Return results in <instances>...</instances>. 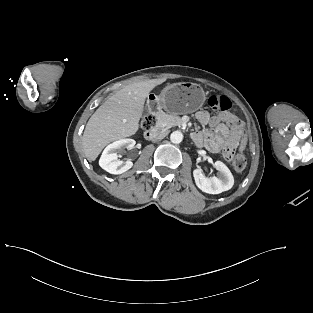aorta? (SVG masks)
I'll list each match as a JSON object with an SVG mask.
<instances>
[{
    "label": "aorta",
    "instance_id": "obj_1",
    "mask_svg": "<svg viewBox=\"0 0 313 313\" xmlns=\"http://www.w3.org/2000/svg\"><path fill=\"white\" fill-rule=\"evenodd\" d=\"M170 140L174 144H179L183 140V134L180 131H174L170 135Z\"/></svg>",
    "mask_w": 313,
    "mask_h": 313
}]
</instances>
